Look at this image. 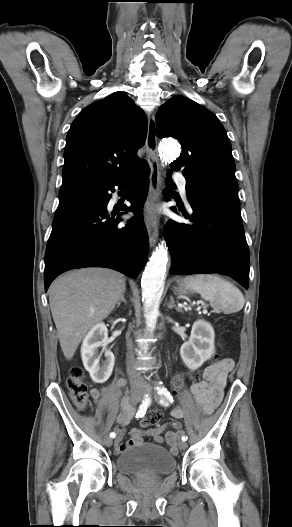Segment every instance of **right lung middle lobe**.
Returning a JSON list of instances; mask_svg holds the SVG:
<instances>
[{"label":"right lung middle lobe","mask_w":292,"mask_h":527,"mask_svg":"<svg viewBox=\"0 0 292 527\" xmlns=\"http://www.w3.org/2000/svg\"><path fill=\"white\" fill-rule=\"evenodd\" d=\"M63 184H98V183L87 181V180H75V181H71V182H67Z\"/></svg>","instance_id":"1"}]
</instances>
